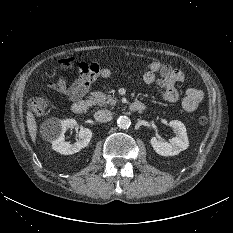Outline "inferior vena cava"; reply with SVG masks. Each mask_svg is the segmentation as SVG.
I'll use <instances>...</instances> for the list:
<instances>
[{
  "label": "inferior vena cava",
  "mask_w": 233,
  "mask_h": 233,
  "mask_svg": "<svg viewBox=\"0 0 233 233\" xmlns=\"http://www.w3.org/2000/svg\"><path fill=\"white\" fill-rule=\"evenodd\" d=\"M111 116H112L111 111H109L107 109L98 110L94 114L95 120L100 121V122H105V121L109 120L111 118Z\"/></svg>",
  "instance_id": "inferior-vena-cava-1"
}]
</instances>
